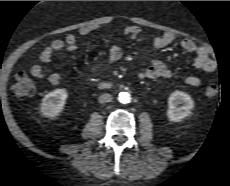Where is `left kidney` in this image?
Returning <instances> with one entry per match:
<instances>
[{
    "mask_svg": "<svg viewBox=\"0 0 230 186\" xmlns=\"http://www.w3.org/2000/svg\"><path fill=\"white\" fill-rule=\"evenodd\" d=\"M193 107L194 102L188 94L182 91H175L168 98L167 116L170 121L179 122L191 115Z\"/></svg>",
    "mask_w": 230,
    "mask_h": 186,
    "instance_id": "obj_1",
    "label": "left kidney"
}]
</instances>
